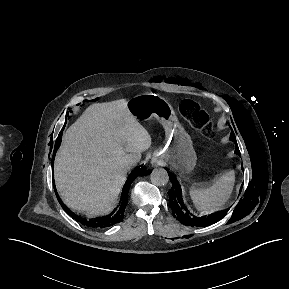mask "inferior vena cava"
Instances as JSON below:
<instances>
[{"mask_svg":"<svg viewBox=\"0 0 289 289\" xmlns=\"http://www.w3.org/2000/svg\"><path fill=\"white\" fill-rule=\"evenodd\" d=\"M137 164V161L136 160H130L129 162H128V166H134V165H136Z\"/></svg>","mask_w":289,"mask_h":289,"instance_id":"602c4592","label":"inferior vena cava"}]
</instances>
